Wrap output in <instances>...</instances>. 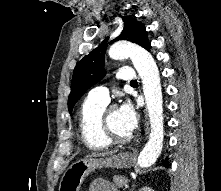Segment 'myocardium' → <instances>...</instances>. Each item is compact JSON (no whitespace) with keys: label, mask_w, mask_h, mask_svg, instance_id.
<instances>
[{"label":"myocardium","mask_w":221,"mask_h":191,"mask_svg":"<svg viewBox=\"0 0 221 191\" xmlns=\"http://www.w3.org/2000/svg\"><path fill=\"white\" fill-rule=\"evenodd\" d=\"M116 110L114 105L110 106L106 111H104L102 122L106 137L112 142V144H125L131 141L132 135L121 136L116 133L109 123V117L112 111Z\"/></svg>","instance_id":"obj_1"}]
</instances>
